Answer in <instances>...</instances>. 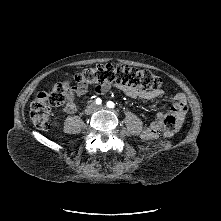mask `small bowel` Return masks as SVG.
Wrapping results in <instances>:
<instances>
[{"label": "small bowel", "instance_id": "c3829d8e", "mask_svg": "<svg viewBox=\"0 0 221 221\" xmlns=\"http://www.w3.org/2000/svg\"><path fill=\"white\" fill-rule=\"evenodd\" d=\"M115 88L122 91L127 96L134 98V99H144L147 101H153L157 98L164 96V91L162 90H152V91H144L140 90L135 87L123 85L120 83H113V84H104L94 88V92L97 94H105L110 89ZM88 90L86 87H73L71 88L67 102L63 108V111L66 113H75L78 109L76 104V97H82L87 94ZM174 101L172 106L169 110L161 111L157 114L156 119L152 121L148 126H146L142 132L141 137L144 140H152L158 137L159 132L164 127V120L167 116H174L176 118V127L178 128L181 123L183 122L186 110H187V103L186 98L182 93H177L174 96Z\"/></svg>", "mask_w": 221, "mask_h": 221}]
</instances>
